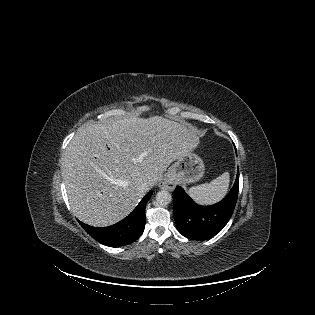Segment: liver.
I'll use <instances>...</instances> for the list:
<instances>
[{"label":"liver","mask_w":315,"mask_h":315,"mask_svg":"<svg viewBox=\"0 0 315 315\" xmlns=\"http://www.w3.org/2000/svg\"><path fill=\"white\" fill-rule=\"evenodd\" d=\"M199 144L186 124L153 116H132L80 129L70 141L61 174L73 214L104 227L126 217L175 160Z\"/></svg>","instance_id":"6515ba94"}]
</instances>
